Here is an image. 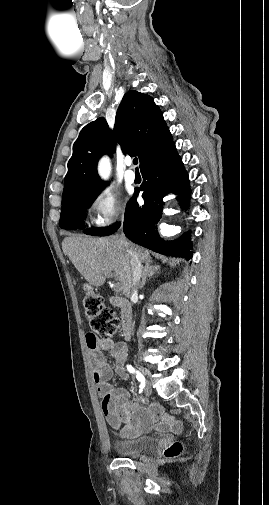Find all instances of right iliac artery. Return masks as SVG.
Listing matches in <instances>:
<instances>
[{
	"label": "right iliac artery",
	"mask_w": 269,
	"mask_h": 505,
	"mask_svg": "<svg viewBox=\"0 0 269 505\" xmlns=\"http://www.w3.org/2000/svg\"><path fill=\"white\" fill-rule=\"evenodd\" d=\"M126 367H127V370H128L130 373H132V374H135V375H136V378H137V379H138V381L140 382V390H139V392L141 393V392L143 391L144 386H145V385H144V382H143V379H145V378H144V376H143V375H142V374H141L138 370H136L133 366H131V365H127Z\"/></svg>",
	"instance_id": "82829eb1"
}]
</instances>
